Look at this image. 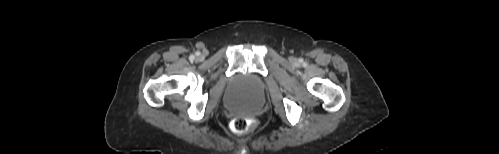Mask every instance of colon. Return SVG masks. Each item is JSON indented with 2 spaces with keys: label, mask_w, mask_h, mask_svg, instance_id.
<instances>
[{
  "label": "colon",
  "mask_w": 499,
  "mask_h": 154,
  "mask_svg": "<svg viewBox=\"0 0 499 154\" xmlns=\"http://www.w3.org/2000/svg\"><path fill=\"white\" fill-rule=\"evenodd\" d=\"M251 122L244 117H236L232 121V128L236 132H245L251 127Z\"/></svg>",
  "instance_id": "1"
}]
</instances>
